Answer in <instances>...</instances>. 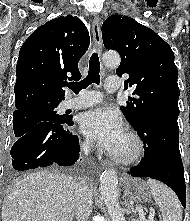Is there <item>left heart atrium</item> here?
I'll return each mask as SVG.
<instances>
[{"mask_svg": "<svg viewBox=\"0 0 190 221\" xmlns=\"http://www.w3.org/2000/svg\"><path fill=\"white\" fill-rule=\"evenodd\" d=\"M80 128L85 135L108 150H111L125 133L120 115L105 107L84 113L80 119Z\"/></svg>", "mask_w": 190, "mask_h": 221, "instance_id": "39dd6f15", "label": "left heart atrium"}]
</instances>
